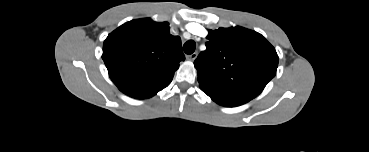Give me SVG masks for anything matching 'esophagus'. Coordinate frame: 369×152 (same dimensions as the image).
Wrapping results in <instances>:
<instances>
[{"label": "esophagus", "mask_w": 369, "mask_h": 152, "mask_svg": "<svg viewBox=\"0 0 369 152\" xmlns=\"http://www.w3.org/2000/svg\"><path fill=\"white\" fill-rule=\"evenodd\" d=\"M197 58V52H194L187 56V59L190 61H194Z\"/></svg>", "instance_id": "obj_1"}]
</instances>
